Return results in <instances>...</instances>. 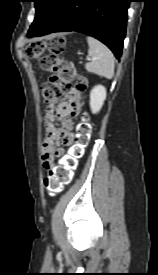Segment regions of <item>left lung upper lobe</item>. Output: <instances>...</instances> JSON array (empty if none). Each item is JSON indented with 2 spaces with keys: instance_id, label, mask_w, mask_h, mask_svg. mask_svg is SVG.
<instances>
[{
  "instance_id": "left-lung-upper-lobe-1",
  "label": "left lung upper lobe",
  "mask_w": 158,
  "mask_h": 275,
  "mask_svg": "<svg viewBox=\"0 0 158 275\" xmlns=\"http://www.w3.org/2000/svg\"><path fill=\"white\" fill-rule=\"evenodd\" d=\"M62 1L63 0H34L36 14L34 22L28 31V37L38 33L47 24Z\"/></svg>"
}]
</instances>
